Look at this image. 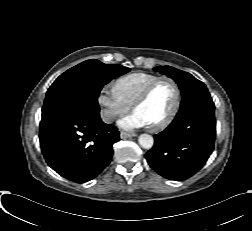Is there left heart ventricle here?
Instances as JSON below:
<instances>
[{
	"instance_id": "b2bd125f",
	"label": "left heart ventricle",
	"mask_w": 252,
	"mask_h": 231,
	"mask_svg": "<svg viewBox=\"0 0 252 231\" xmlns=\"http://www.w3.org/2000/svg\"><path fill=\"white\" fill-rule=\"evenodd\" d=\"M175 100V90L169 81H161L152 90L148 99L136 107L147 126H153L162 121L171 111Z\"/></svg>"
}]
</instances>
